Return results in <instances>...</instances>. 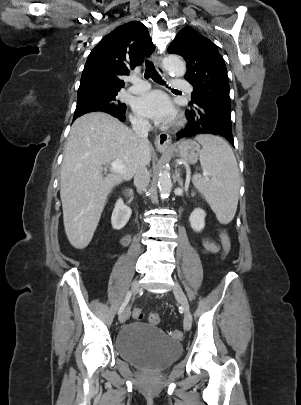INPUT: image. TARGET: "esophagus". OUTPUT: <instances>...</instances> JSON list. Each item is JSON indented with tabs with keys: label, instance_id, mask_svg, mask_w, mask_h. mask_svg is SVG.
Here are the masks:
<instances>
[{
	"label": "esophagus",
	"instance_id": "34e87169",
	"mask_svg": "<svg viewBox=\"0 0 301 405\" xmlns=\"http://www.w3.org/2000/svg\"><path fill=\"white\" fill-rule=\"evenodd\" d=\"M152 61L156 67V69L164 74L165 70L162 66L161 58L157 55L152 56ZM172 137L169 134L161 133L155 137V145L159 149L168 148L171 145Z\"/></svg>",
	"mask_w": 301,
	"mask_h": 405
}]
</instances>
